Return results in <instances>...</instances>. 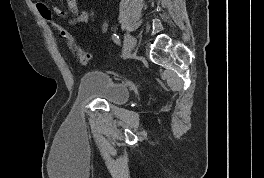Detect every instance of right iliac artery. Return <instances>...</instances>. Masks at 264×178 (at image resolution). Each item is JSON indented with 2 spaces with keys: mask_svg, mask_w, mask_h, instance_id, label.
I'll use <instances>...</instances> for the list:
<instances>
[{
  "mask_svg": "<svg viewBox=\"0 0 264 178\" xmlns=\"http://www.w3.org/2000/svg\"><path fill=\"white\" fill-rule=\"evenodd\" d=\"M112 40L114 41V43H116L117 45H120V39L119 36L117 34H113L112 35Z\"/></svg>",
  "mask_w": 264,
  "mask_h": 178,
  "instance_id": "82829eb1",
  "label": "right iliac artery"
}]
</instances>
